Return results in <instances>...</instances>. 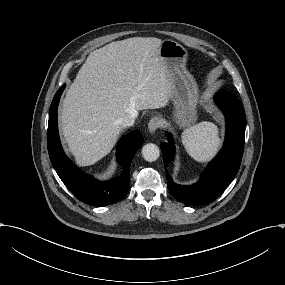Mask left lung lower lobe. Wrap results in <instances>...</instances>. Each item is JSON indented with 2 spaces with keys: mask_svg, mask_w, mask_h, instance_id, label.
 I'll list each match as a JSON object with an SVG mask.
<instances>
[{
  "mask_svg": "<svg viewBox=\"0 0 285 285\" xmlns=\"http://www.w3.org/2000/svg\"><path fill=\"white\" fill-rule=\"evenodd\" d=\"M215 102L226 118V137L223 148L212 160L200 180L193 185H178L166 170L174 159L173 138L167 134L168 142L161 143L168 189L179 201L187 205H201L217 199L236 176L243 155L246 118L241 103L235 95L218 92Z\"/></svg>",
  "mask_w": 285,
  "mask_h": 285,
  "instance_id": "1",
  "label": "left lung lower lobe"
}]
</instances>
